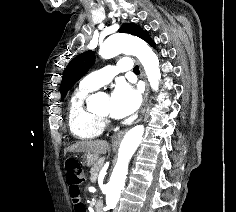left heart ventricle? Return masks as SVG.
<instances>
[{
	"instance_id": "obj_1",
	"label": "left heart ventricle",
	"mask_w": 236,
	"mask_h": 212,
	"mask_svg": "<svg viewBox=\"0 0 236 212\" xmlns=\"http://www.w3.org/2000/svg\"><path fill=\"white\" fill-rule=\"evenodd\" d=\"M110 108H111V99L107 98L102 106V109L100 110V114H110Z\"/></svg>"
}]
</instances>
